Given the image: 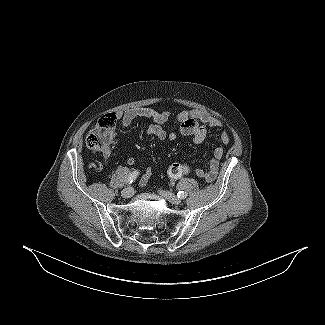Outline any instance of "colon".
<instances>
[{
  "label": "colon",
  "instance_id": "1",
  "mask_svg": "<svg viewBox=\"0 0 325 325\" xmlns=\"http://www.w3.org/2000/svg\"><path fill=\"white\" fill-rule=\"evenodd\" d=\"M116 116L104 114L96 125L90 130L86 142L94 151L107 149L115 138ZM190 172L189 166L182 163H174L167 169V176L171 181H176Z\"/></svg>",
  "mask_w": 325,
  "mask_h": 325
}]
</instances>
